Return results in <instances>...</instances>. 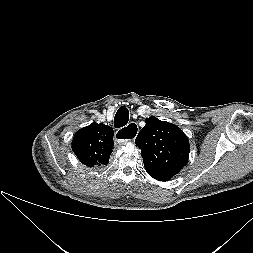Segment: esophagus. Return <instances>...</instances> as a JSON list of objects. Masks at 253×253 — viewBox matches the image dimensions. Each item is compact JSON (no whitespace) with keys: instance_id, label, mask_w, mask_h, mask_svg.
Returning a JSON list of instances; mask_svg holds the SVG:
<instances>
[{"instance_id":"34e87169","label":"esophagus","mask_w":253,"mask_h":253,"mask_svg":"<svg viewBox=\"0 0 253 253\" xmlns=\"http://www.w3.org/2000/svg\"><path fill=\"white\" fill-rule=\"evenodd\" d=\"M138 125L135 122L129 123L127 126L119 129L115 133V138L119 142H127L135 139L138 134Z\"/></svg>"}]
</instances>
